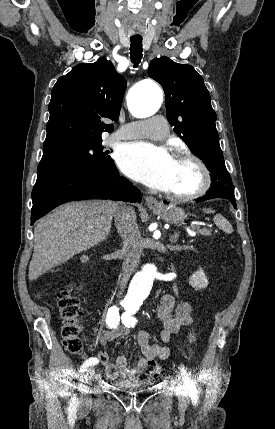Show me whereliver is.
Instances as JSON below:
<instances>
[{"label":"liver","mask_w":275,"mask_h":429,"mask_svg":"<svg viewBox=\"0 0 275 429\" xmlns=\"http://www.w3.org/2000/svg\"><path fill=\"white\" fill-rule=\"evenodd\" d=\"M119 206L109 200L74 202L41 219L34 230L29 280L104 241Z\"/></svg>","instance_id":"1"}]
</instances>
